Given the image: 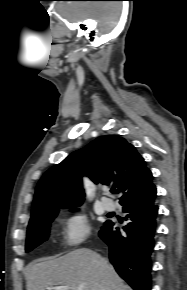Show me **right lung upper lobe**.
Segmentation results:
<instances>
[{
    "label": "right lung upper lobe",
    "instance_id": "cb5924a9",
    "mask_svg": "<svg viewBox=\"0 0 187 290\" xmlns=\"http://www.w3.org/2000/svg\"><path fill=\"white\" fill-rule=\"evenodd\" d=\"M82 175L95 183H112L122 193L123 207L156 197L152 173L135 147L117 135L101 136L43 175L36 188L30 222L59 208L81 205Z\"/></svg>",
    "mask_w": 187,
    "mask_h": 290
}]
</instances>
